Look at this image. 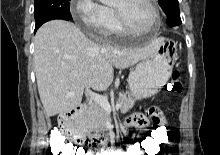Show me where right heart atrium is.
Here are the masks:
<instances>
[{
	"label": "right heart atrium",
	"instance_id": "obj_1",
	"mask_svg": "<svg viewBox=\"0 0 220 155\" xmlns=\"http://www.w3.org/2000/svg\"><path fill=\"white\" fill-rule=\"evenodd\" d=\"M71 14L86 31L97 35L108 34L111 21L109 10L96 0H74Z\"/></svg>",
	"mask_w": 220,
	"mask_h": 155
}]
</instances>
